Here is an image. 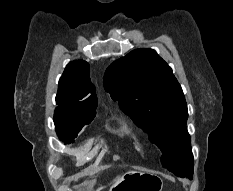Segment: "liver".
I'll return each instance as SVG.
<instances>
[{
	"label": "liver",
	"instance_id": "6515ba94",
	"mask_svg": "<svg viewBox=\"0 0 233 191\" xmlns=\"http://www.w3.org/2000/svg\"><path fill=\"white\" fill-rule=\"evenodd\" d=\"M102 189V187L98 188L96 191H100Z\"/></svg>",
	"mask_w": 233,
	"mask_h": 191
}]
</instances>
